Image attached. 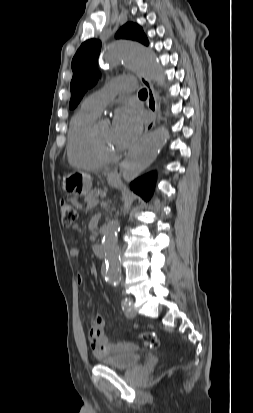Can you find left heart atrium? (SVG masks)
Masks as SVG:
<instances>
[{"instance_id":"1","label":"left heart atrium","mask_w":253,"mask_h":413,"mask_svg":"<svg viewBox=\"0 0 253 413\" xmlns=\"http://www.w3.org/2000/svg\"><path fill=\"white\" fill-rule=\"evenodd\" d=\"M142 120L137 110L130 107L120 108L112 125L113 140L117 148L129 146L140 134Z\"/></svg>"}]
</instances>
